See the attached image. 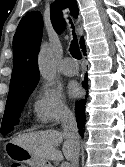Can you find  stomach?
<instances>
[{
    "mask_svg": "<svg viewBox=\"0 0 125 167\" xmlns=\"http://www.w3.org/2000/svg\"><path fill=\"white\" fill-rule=\"evenodd\" d=\"M7 156L17 162H23L29 164L31 167H52L47 160L34 156L25 148L9 142L5 146Z\"/></svg>",
    "mask_w": 125,
    "mask_h": 167,
    "instance_id": "1",
    "label": "stomach"
}]
</instances>
